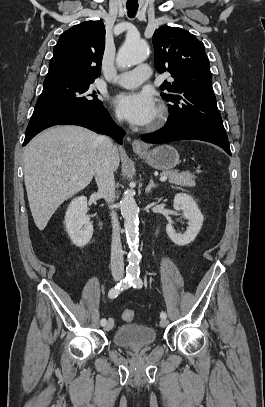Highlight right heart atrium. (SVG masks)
<instances>
[{
    "label": "right heart atrium",
    "mask_w": 265,
    "mask_h": 407,
    "mask_svg": "<svg viewBox=\"0 0 265 407\" xmlns=\"http://www.w3.org/2000/svg\"><path fill=\"white\" fill-rule=\"evenodd\" d=\"M115 122L120 123L121 122V117L119 115L115 116Z\"/></svg>",
    "instance_id": "1"
}]
</instances>
